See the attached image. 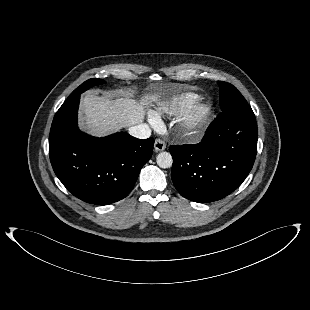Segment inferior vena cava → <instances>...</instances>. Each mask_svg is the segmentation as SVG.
<instances>
[{
    "instance_id": "inferior-vena-cava-1",
    "label": "inferior vena cava",
    "mask_w": 310,
    "mask_h": 310,
    "mask_svg": "<svg viewBox=\"0 0 310 310\" xmlns=\"http://www.w3.org/2000/svg\"><path fill=\"white\" fill-rule=\"evenodd\" d=\"M129 134L139 139H147L151 136V129L147 124H138L128 129Z\"/></svg>"
}]
</instances>
